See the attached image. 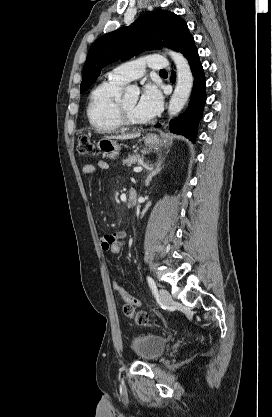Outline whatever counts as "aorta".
Returning <instances> with one entry per match:
<instances>
[{
    "label": "aorta",
    "instance_id": "obj_1",
    "mask_svg": "<svg viewBox=\"0 0 272 417\" xmlns=\"http://www.w3.org/2000/svg\"><path fill=\"white\" fill-rule=\"evenodd\" d=\"M177 69V84L170 99L168 114L177 115L187 102L193 86V76L187 59L178 52L166 49ZM140 90L138 87L131 86L126 88V99H138Z\"/></svg>",
    "mask_w": 272,
    "mask_h": 417
}]
</instances>
